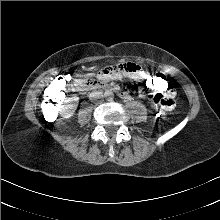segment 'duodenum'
I'll return each instance as SVG.
<instances>
[{
    "instance_id": "1",
    "label": "duodenum",
    "mask_w": 220,
    "mask_h": 220,
    "mask_svg": "<svg viewBox=\"0 0 220 220\" xmlns=\"http://www.w3.org/2000/svg\"><path fill=\"white\" fill-rule=\"evenodd\" d=\"M70 87L72 88V90L74 91H85L88 89H100V88H104V86H97L94 87L91 84H88L87 82L83 81V80H74L70 83ZM121 95L125 96L124 93H121Z\"/></svg>"
}]
</instances>
